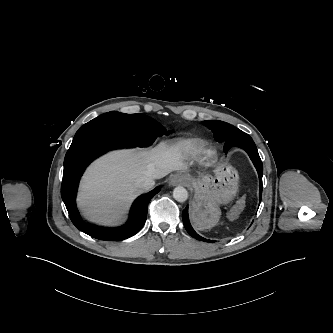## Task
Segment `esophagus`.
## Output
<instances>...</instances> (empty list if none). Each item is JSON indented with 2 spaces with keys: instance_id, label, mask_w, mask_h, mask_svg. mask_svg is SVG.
I'll list each match as a JSON object with an SVG mask.
<instances>
[{
  "instance_id": "obj_1",
  "label": "esophagus",
  "mask_w": 333,
  "mask_h": 333,
  "mask_svg": "<svg viewBox=\"0 0 333 333\" xmlns=\"http://www.w3.org/2000/svg\"><path fill=\"white\" fill-rule=\"evenodd\" d=\"M185 181H186V179L182 175L173 174V175L170 176L169 185L170 186H177V185L185 183Z\"/></svg>"
}]
</instances>
